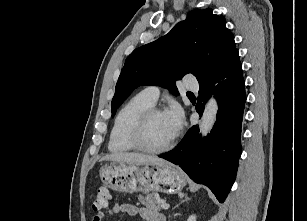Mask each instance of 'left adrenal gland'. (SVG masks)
I'll return each instance as SVG.
<instances>
[{"label": "left adrenal gland", "instance_id": "obj_1", "mask_svg": "<svg viewBox=\"0 0 307 221\" xmlns=\"http://www.w3.org/2000/svg\"><path fill=\"white\" fill-rule=\"evenodd\" d=\"M190 200V198L187 196V194L184 195V200H182L181 202H179V204H177L173 209L177 208L180 204L186 202Z\"/></svg>", "mask_w": 307, "mask_h": 221}]
</instances>
